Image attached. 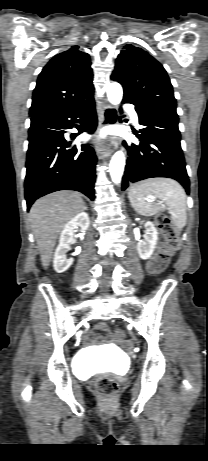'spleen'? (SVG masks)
Returning <instances> with one entry per match:
<instances>
[{
    "label": "spleen",
    "mask_w": 208,
    "mask_h": 461,
    "mask_svg": "<svg viewBox=\"0 0 208 461\" xmlns=\"http://www.w3.org/2000/svg\"><path fill=\"white\" fill-rule=\"evenodd\" d=\"M151 194L164 204L149 202ZM128 198L134 210L143 216H152L167 207L177 228L181 229L186 225V193L173 179L151 178L138 182L130 187Z\"/></svg>",
    "instance_id": "obj_1"
}]
</instances>
